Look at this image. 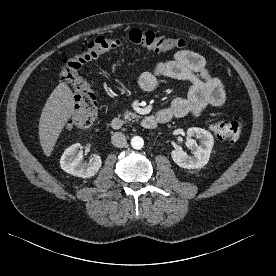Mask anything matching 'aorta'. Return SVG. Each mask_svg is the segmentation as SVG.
Returning <instances> with one entry per match:
<instances>
[{
	"instance_id": "obj_1",
	"label": "aorta",
	"mask_w": 276,
	"mask_h": 276,
	"mask_svg": "<svg viewBox=\"0 0 276 276\" xmlns=\"http://www.w3.org/2000/svg\"><path fill=\"white\" fill-rule=\"evenodd\" d=\"M144 145V140L143 138H141L140 136H134L132 139H131V146L134 148V149H141Z\"/></svg>"
}]
</instances>
